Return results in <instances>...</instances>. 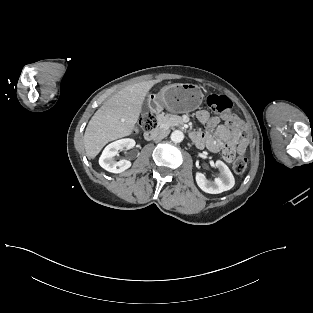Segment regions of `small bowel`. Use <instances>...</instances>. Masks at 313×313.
Instances as JSON below:
<instances>
[{
	"instance_id": "obj_1",
	"label": "small bowel",
	"mask_w": 313,
	"mask_h": 313,
	"mask_svg": "<svg viewBox=\"0 0 313 313\" xmlns=\"http://www.w3.org/2000/svg\"><path fill=\"white\" fill-rule=\"evenodd\" d=\"M197 119L214 133L195 131L191 134L197 146L219 152L226 147L243 155L248 146V137L244 122L235 114L210 116L206 110L197 112Z\"/></svg>"
}]
</instances>
